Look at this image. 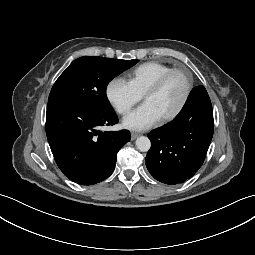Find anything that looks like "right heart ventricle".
Returning <instances> with one entry per match:
<instances>
[{"instance_id":"1","label":"right heart ventricle","mask_w":255,"mask_h":255,"mask_svg":"<svg viewBox=\"0 0 255 255\" xmlns=\"http://www.w3.org/2000/svg\"><path fill=\"white\" fill-rule=\"evenodd\" d=\"M170 69H172V67L160 62H145L135 67L128 74V82L141 96H143L146 90L162 74L169 71Z\"/></svg>"}]
</instances>
